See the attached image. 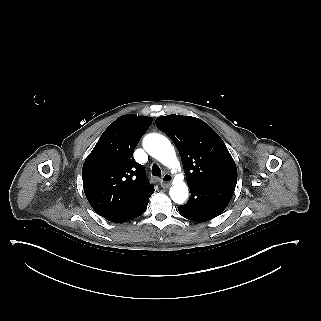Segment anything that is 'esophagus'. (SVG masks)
<instances>
[{
    "label": "esophagus",
    "mask_w": 321,
    "mask_h": 321,
    "mask_svg": "<svg viewBox=\"0 0 321 321\" xmlns=\"http://www.w3.org/2000/svg\"><path fill=\"white\" fill-rule=\"evenodd\" d=\"M172 180H173L172 175H170L169 173H166V174L162 177V179H161V181H160L161 187H162V188H168V187H170L171 184H172Z\"/></svg>",
    "instance_id": "esophagus-1"
}]
</instances>
